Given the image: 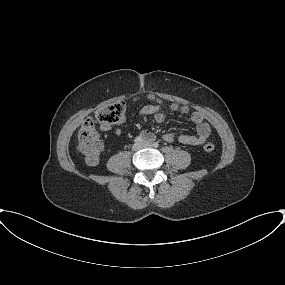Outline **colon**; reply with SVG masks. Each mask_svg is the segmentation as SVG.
I'll return each instance as SVG.
<instances>
[{
  "label": "colon",
  "mask_w": 285,
  "mask_h": 285,
  "mask_svg": "<svg viewBox=\"0 0 285 285\" xmlns=\"http://www.w3.org/2000/svg\"><path fill=\"white\" fill-rule=\"evenodd\" d=\"M125 106L123 102H115L101 107L97 110L95 118L88 117L84 120L77 135L78 150L84 156L86 163L95 166L99 163L104 150L103 142L97 131V123L101 126H110L121 120L124 115ZM200 114H195L194 119L199 120ZM215 149L213 143L204 145L206 152Z\"/></svg>",
  "instance_id": "obj_1"
}]
</instances>
